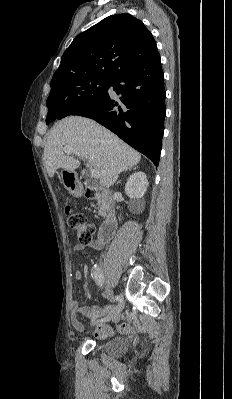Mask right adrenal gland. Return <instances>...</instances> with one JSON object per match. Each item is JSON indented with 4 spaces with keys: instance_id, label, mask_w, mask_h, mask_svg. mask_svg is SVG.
I'll list each match as a JSON object with an SVG mask.
<instances>
[{
    "instance_id": "1",
    "label": "right adrenal gland",
    "mask_w": 232,
    "mask_h": 399,
    "mask_svg": "<svg viewBox=\"0 0 232 399\" xmlns=\"http://www.w3.org/2000/svg\"><path fill=\"white\" fill-rule=\"evenodd\" d=\"M131 170H136V166H133V168H129V170H124V172H131Z\"/></svg>"
}]
</instances>
